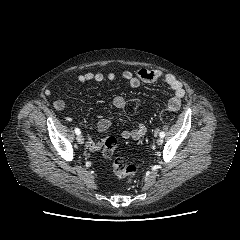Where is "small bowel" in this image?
<instances>
[{
    "label": "small bowel",
    "mask_w": 240,
    "mask_h": 240,
    "mask_svg": "<svg viewBox=\"0 0 240 240\" xmlns=\"http://www.w3.org/2000/svg\"><path fill=\"white\" fill-rule=\"evenodd\" d=\"M122 77L126 79L130 86L133 88L139 87L143 83H158L164 82L172 90L173 95L168 101V108L173 112L179 110L182 102V98L185 95V90L182 83L172 74H165L161 70H149L140 69L137 72L124 71ZM115 79L113 72H86L76 76L78 82H102L112 81ZM114 107L123 109L126 105V101L122 96H116L113 99ZM54 109L57 112H62L66 108V104L63 100H56L53 104ZM79 124H83L78 121ZM111 122L106 118H102L97 123V130L99 132H106L110 129ZM147 128L143 122H139L137 127L134 129H126L122 132V137L126 140H139L146 133ZM103 145V141L95 142L93 139L88 138L86 146L91 151L100 149Z\"/></svg>",
    "instance_id": "obj_1"
}]
</instances>
